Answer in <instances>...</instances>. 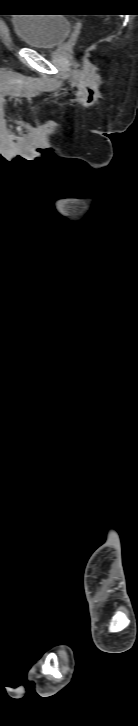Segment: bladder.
I'll return each mask as SVG.
<instances>
[{"mask_svg":"<svg viewBox=\"0 0 138 726\" xmlns=\"http://www.w3.org/2000/svg\"><path fill=\"white\" fill-rule=\"evenodd\" d=\"M61 14H20L12 25L23 45L31 48L52 49L68 37L72 24Z\"/></svg>","mask_w":138,"mask_h":726,"instance_id":"bladder-1","label":"bladder"}]
</instances>
